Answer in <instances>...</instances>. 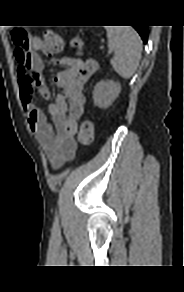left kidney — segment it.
<instances>
[{
	"label": "left kidney",
	"mask_w": 184,
	"mask_h": 292,
	"mask_svg": "<svg viewBox=\"0 0 184 292\" xmlns=\"http://www.w3.org/2000/svg\"><path fill=\"white\" fill-rule=\"evenodd\" d=\"M120 84L113 80H101L93 91L94 104L100 108H108L120 93Z\"/></svg>",
	"instance_id": "5707ae66"
}]
</instances>
